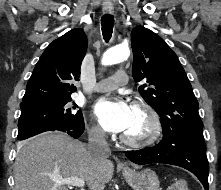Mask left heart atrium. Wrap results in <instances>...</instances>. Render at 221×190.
<instances>
[{
    "label": "left heart atrium",
    "instance_id": "left-heart-atrium-1",
    "mask_svg": "<svg viewBox=\"0 0 221 190\" xmlns=\"http://www.w3.org/2000/svg\"><path fill=\"white\" fill-rule=\"evenodd\" d=\"M94 114L106 131L124 133L131 124L133 106L122 98H101L94 106Z\"/></svg>",
    "mask_w": 221,
    "mask_h": 190
}]
</instances>
